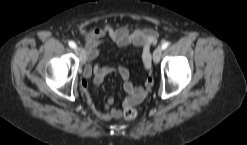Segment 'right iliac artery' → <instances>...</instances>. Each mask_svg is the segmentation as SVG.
I'll return each instance as SVG.
<instances>
[{
  "label": "right iliac artery",
  "mask_w": 247,
  "mask_h": 145,
  "mask_svg": "<svg viewBox=\"0 0 247 145\" xmlns=\"http://www.w3.org/2000/svg\"><path fill=\"white\" fill-rule=\"evenodd\" d=\"M68 44L71 48L76 49V44L73 41H69Z\"/></svg>",
  "instance_id": "obj_1"
}]
</instances>
